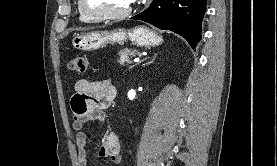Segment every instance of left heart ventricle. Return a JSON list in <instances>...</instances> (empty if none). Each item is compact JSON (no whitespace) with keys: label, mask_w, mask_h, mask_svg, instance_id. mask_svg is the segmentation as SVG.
I'll return each instance as SVG.
<instances>
[{"label":"left heart ventricle","mask_w":277,"mask_h":166,"mask_svg":"<svg viewBox=\"0 0 277 166\" xmlns=\"http://www.w3.org/2000/svg\"><path fill=\"white\" fill-rule=\"evenodd\" d=\"M133 2L134 0H85V5L95 13H121Z\"/></svg>","instance_id":"1"}]
</instances>
